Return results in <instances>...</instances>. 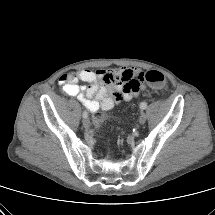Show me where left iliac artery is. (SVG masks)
<instances>
[{
  "label": "left iliac artery",
  "instance_id": "1",
  "mask_svg": "<svg viewBox=\"0 0 215 215\" xmlns=\"http://www.w3.org/2000/svg\"><path fill=\"white\" fill-rule=\"evenodd\" d=\"M140 108H141L142 110L146 109V108H147V103H146V102H141V103H140Z\"/></svg>",
  "mask_w": 215,
  "mask_h": 215
}]
</instances>
